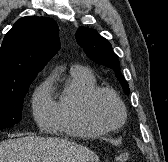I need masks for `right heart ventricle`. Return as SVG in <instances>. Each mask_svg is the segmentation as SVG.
<instances>
[{
  "label": "right heart ventricle",
  "instance_id": "obj_1",
  "mask_svg": "<svg viewBox=\"0 0 168 162\" xmlns=\"http://www.w3.org/2000/svg\"><path fill=\"white\" fill-rule=\"evenodd\" d=\"M97 87L94 74L78 67L70 70L65 86L55 102L52 126L69 136L94 137L104 131L94 126L87 118L84 102L88 93Z\"/></svg>",
  "mask_w": 168,
  "mask_h": 162
}]
</instances>
